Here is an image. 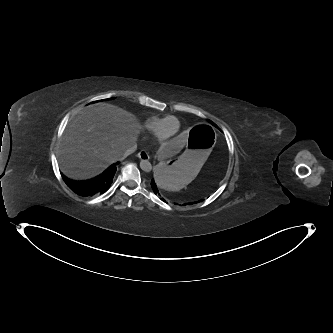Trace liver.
<instances>
[{
  "label": "liver",
  "instance_id": "1",
  "mask_svg": "<svg viewBox=\"0 0 333 333\" xmlns=\"http://www.w3.org/2000/svg\"><path fill=\"white\" fill-rule=\"evenodd\" d=\"M141 129L133 114L114 105L101 102L81 109L61 139L58 155L62 172L76 180L97 176L136 145ZM187 144L185 136H176L159 149V158L170 160Z\"/></svg>",
  "mask_w": 333,
  "mask_h": 333
}]
</instances>
